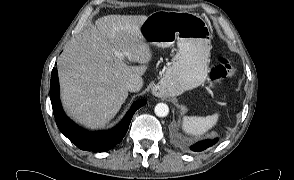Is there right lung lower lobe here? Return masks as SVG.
<instances>
[{
    "instance_id": "right-lung-lower-lobe-1",
    "label": "right lung lower lobe",
    "mask_w": 294,
    "mask_h": 180,
    "mask_svg": "<svg viewBox=\"0 0 294 180\" xmlns=\"http://www.w3.org/2000/svg\"><path fill=\"white\" fill-rule=\"evenodd\" d=\"M50 99L56 124L60 131L80 149L93 152L108 151L121 142L129 128L133 114L145 104V101L134 104L123 121L112 130L99 132L86 131L72 122L62 109L59 99L58 73L55 68H53L51 74Z\"/></svg>"
}]
</instances>
